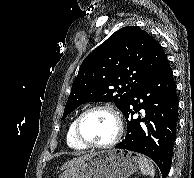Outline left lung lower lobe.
Segmentation results:
<instances>
[{
  "instance_id": "left-lung-lower-lobe-1",
  "label": "left lung lower lobe",
  "mask_w": 194,
  "mask_h": 178,
  "mask_svg": "<svg viewBox=\"0 0 194 178\" xmlns=\"http://www.w3.org/2000/svg\"><path fill=\"white\" fill-rule=\"evenodd\" d=\"M178 97L173 72L167 61L155 76L136 88L122 112L128 122L125 139L115 148L142 153L150 157L166 178L172 164L178 121ZM144 109L145 118H133ZM145 122L147 132L140 122Z\"/></svg>"
}]
</instances>
